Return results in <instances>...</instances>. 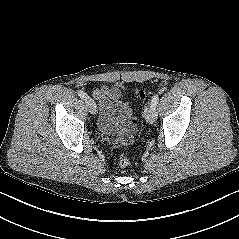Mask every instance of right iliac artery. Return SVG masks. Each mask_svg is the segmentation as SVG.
Listing matches in <instances>:
<instances>
[{
    "mask_svg": "<svg viewBox=\"0 0 239 239\" xmlns=\"http://www.w3.org/2000/svg\"><path fill=\"white\" fill-rule=\"evenodd\" d=\"M78 96H80L83 99V98H85L87 96V94L84 91L79 90L78 91Z\"/></svg>",
    "mask_w": 239,
    "mask_h": 239,
    "instance_id": "right-iliac-artery-1",
    "label": "right iliac artery"
}]
</instances>
